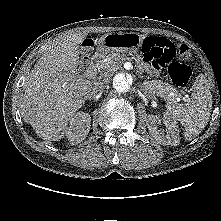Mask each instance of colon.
I'll use <instances>...</instances> for the list:
<instances>
[{
    "mask_svg": "<svg viewBox=\"0 0 221 221\" xmlns=\"http://www.w3.org/2000/svg\"><path fill=\"white\" fill-rule=\"evenodd\" d=\"M94 43L87 38L81 50V59L86 62L92 52ZM142 51L146 61L156 69L167 66L172 83L177 87L188 84L192 71L187 62L192 59V52L186 44L175 45L168 39L156 40L148 37L144 40Z\"/></svg>",
    "mask_w": 221,
    "mask_h": 221,
    "instance_id": "1",
    "label": "colon"
}]
</instances>
